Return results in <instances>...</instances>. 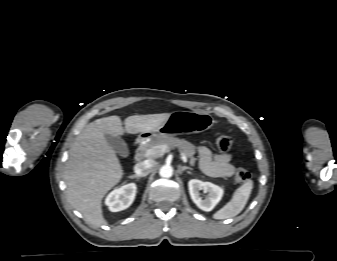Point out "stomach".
Listing matches in <instances>:
<instances>
[{
    "label": "stomach",
    "mask_w": 337,
    "mask_h": 261,
    "mask_svg": "<svg viewBox=\"0 0 337 261\" xmlns=\"http://www.w3.org/2000/svg\"><path fill=\"white\" fill-rule=\"evenodd\" d=\"M211 115L196 111H174L168 119L152 132L142 133V137L156 138L163 136L196 134L213 126Z\"/></svg>",
    "instance_id": "stomach-1"
}]
</instances>
